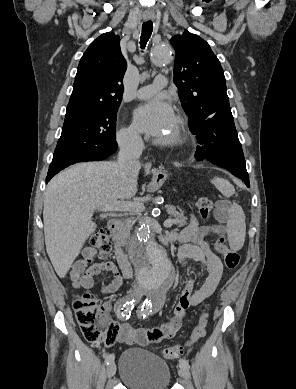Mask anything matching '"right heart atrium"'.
<instances>
[{"label": "right heart atrium", "mask_w": 296, "mask_h": 389, "mask_svg": "<svg viewBox=\"0 0 296 389\" xmlns=\"http://www.w3.org/2000/svg\"><path fill=\"white\" fill-rule=\"evenodd\" d=\"M118 142L123 148H131L138 144L139 137L132 127H123L118 133Z\"/></svg>", "instance_id": "obj_1"}]
</instances>
